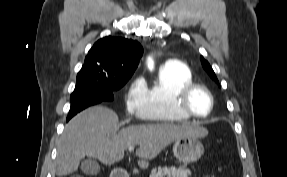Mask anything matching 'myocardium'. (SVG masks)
Listing matches in <instances>:
<instances>
[{"label":"myocardium","instance_id":"f54148a6","mask_svg":"<svg viewBox=\"0 0 287 177\" xmlns=\"http://www.w3.org/2000/svg\"><path fill=\"white\" fill-rule=\"evenodd\" d=\"M196 90H203L208 95V97L210 99L209 112L204 116L196 114L192 110L190 103H189L192 94ZM177 106H178L180 111L187 114L188 116L193 117L195 119L203 120V119L209 118L212 115L214 107H215V99H214V95H213L212 91L207 86L193 82V83L188 84L187 86H185L181 90V92L177 98Z\"/></svg>","mask_w":287,"mask_h":177}]
</instances>
